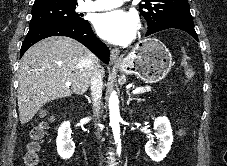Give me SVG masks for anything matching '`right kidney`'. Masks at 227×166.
Instances as JSON below:
<instances>
[{"label": "right kidney", "instance_id": "1", "mask_svg": "<svg viewBox=\"0 0 227 166\" xmlns=\"http://www.w3.org/2000/svg\"><path fill=\"white\" fill-rule=\"evenodd\" d=\"M72 130L70 122L65 121L58 129V136L56 139L57 152L63 159H69L73 156L75 151V144L71 139Z\"/></svg>", "mask_w": 227, "mask_h": 166}]
</instances>
